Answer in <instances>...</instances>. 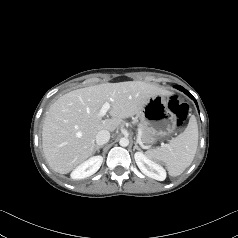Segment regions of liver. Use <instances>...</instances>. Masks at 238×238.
<instances>
[{
	"label": "liver",
	"instance_id": "liver-1",
	"mask_svg": "<svg viewBox=\"0 0 238 238\" xmlns=\"http://www.w3.org/2000/svg\"><path fill=\"white\" fill-rule=\"evenodd\" d=\"M168 91L142 81L104 83L64 94L49 108L42 128V147L50 167L67 174L95 152V137L101 130L115 131L123 119L144 108L149 98ZM112 118L102 119L104 103Z\"/></svg>",
	"mask_w": 238,
	"mask_h": 238
}]
</instances>
